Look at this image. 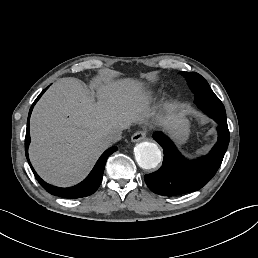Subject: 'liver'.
Segmentation results:
<instances>
[{"label":"liver","instance_id":"6515ba94","mask_svg":"<svg viewBox=\"0 0 258 258\" xmlns=\"http://www.w3.org/2000/svg\"><path fill=\"white\" fill-rule=\"evenodd\" d=\"M96 97L77 78L54 83L33 109L30 119V161L46 182L72 186L83 180L100 155L111 146L107 133L124 130L153 115L150 92L131 78L98 83ZM156 121L175 137L185 114L165 103Z\"/></svg>","mask_w":258,"mask_h":258}]
</instances>
